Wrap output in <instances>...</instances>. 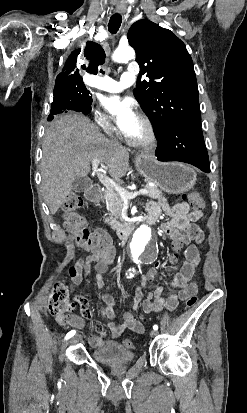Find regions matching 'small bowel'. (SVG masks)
I'll return each instance as SVG.
<instances>
[{"label":"small bowel","mask_w":247,"mask_h":413,"mask_svg":"<svg viewBox=\"0 0 247 413\" xmlns=\"http://www.w3.org/2000/svg\"><path fill=\"white\" fill-rule=\"evenodd\" d=\"M146 210L148 223L158 221L162 213H166L170 217V220L163 224V230L173 237L177 244L186 246V260L178 266L157 262L136 287L133 302L130 304L129 309L124 312L123 322L121 324L113 322L115 308L117 306L115 299L109 294H102L101 300L105 306L100 308V312L103 317L109 320L108 329L113 338L120 337L127 329L136 333H143L144 325L149 315L163 309L173 311L177 308L179 301L184 300L185 297L188 299H195L197 297V283H189L200 262L197 245L204 239L203 231L193 225V222L202 217V212L198 210L191 211L187 202H180L174 206H170L165 198H159L157 201L149 202ZM107 270L108 261L99 253L93 252L86 256L79 257L69 268L71 291L74 292L76 287L82 285L92 272L96 274L98 288H102L103 276ZM169 270H175L176 275L174 279L168 282L169 293L166 301L162 298L163 287L160 284H155L154 291L148 293L147 297L143 299L147 286L153 284L158 275H163ZM178 289L180 290L179 292L177 291ZM152 297H154V300H152ZM76 299L79 302L82 316L57 315L55 320L59 326L81 328L85 324V319L92 317L93 311L87 299L78 295H76ZM140 303L143 309V315L136 318L133 311L137 309ZM97 331L100 335H90L88 341L91 346L100 348L105 344L104 331L101 328ZM106 346L113 348L114 342L108 341Z\"/></svg>","instance_id":"small-bowel-1"}]
</instances>
